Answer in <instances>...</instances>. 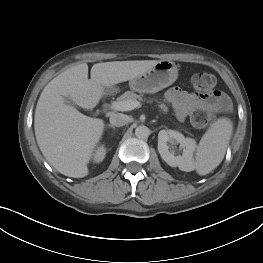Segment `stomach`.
I'll use <instances>...</instances> for the list:
<instances>
[{"label":"stomach","instance_id":"1","mask_svg":"<svg viewBox=\"0 0 263 263\" xmlns=\"http://www.w3.org/2000/svg\"><path fill=\"white\" fill-rule=\"evenodd\" d=\"M178 77V69L170 60H160L152 68L129 81L131 90L139 93H155L172 85Z\"/></svg>","mask_w":263,"mask_h":263}]
</instances>
